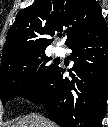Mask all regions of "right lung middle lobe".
<instances>
[{
    "instance_id": "1",
    "label": "right lung middle lobe",
    "mask_w": 108,
    "mask_h": 127,
    "mask_svg": "<svg viewBox=\"0 0 108 127\" xmlns=\"http://www.w3.org/2000/svg\"><path fill=\"white\" fill-rule=\"evenodd\" d=\"M45 53L14 59L1 65V101L14 96L28 97L40 90L56 71L57 64H49Z\"/></svg>"
}]
</instances>
